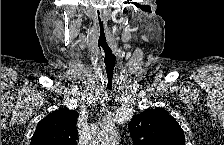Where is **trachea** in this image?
I'll list each match as a JSON object with an SVG mask.
<instances>
[{
	"instance_id": "3493384b",
	"label": "trachea",
	"mask_w": 224,
	"mask_h": 145,
	"mask_svg": "<svg viewBox=\"0 0 224 145\" xmlns=\"http://www.w3.org/2000/svg\"><path fill=\"white\" fill-rule=\"evenodd\" d=\"M109 55L111 57V59H107L106 58V74H107V79H108V83L110 82L112 84L113 81V76L115 73V63H116V58L114 55H112L111 50L109 48H107V51H105V56ZM111 89V87H110Z\"/></svg>"
}]
</instances>
